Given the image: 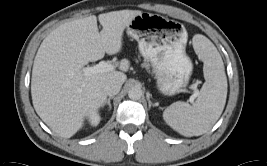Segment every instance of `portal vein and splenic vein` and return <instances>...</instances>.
<instances>
[{
    "instance_id": "portal-vein-and-splenic-vein-1",
    "label": "portal vein and splenic vein",
    "mask_w": 267,
    "mask_h": 166,
    "mask_svg": "<svg viewBox=\"0 0 267 166\" xmlns=\"http://www.w3.org/2000/svg\"><path fill=\"white\" fill-rule=\"evenodd\" d=\"M115 66L111 63H108L106 61H100L98 64L92 66V67H84L82 68V72L85 76H90L97 73H104V72H110L114 71ZM192 89L195 90V93L191 96L190 101L193 102L196 98L198 91L196 89V86L192 87Z\"/></svg>"
}]
</instances>
